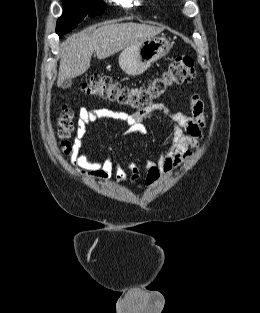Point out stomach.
Segmentation results:
<instances>
[{
  "mask_svg": "<svg viewBox=\"0 0 260 313\" xmlns=\"http://www.w3.org/2000/svg\"><path fill=\"white\" fill-rule=\"evenodd\" d=\"M172 45L165 37H152L133 43L119 55V66L130 76L144 73L155 61L166 56Z\"/></svg>",
  "mask_w": 260,
  "mask_h": 313,
  "instance_id": "stomach-1",
  "label": "stomach"
}]
</instances>
